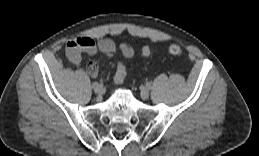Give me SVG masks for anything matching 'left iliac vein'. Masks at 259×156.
<instances>
[{"instance_id": "left-iliac-vein-1", "label": "left iliac vein", "mask_w": 259, "mask_h": 156, "mask_svg": "<svg viewBox=\"0 0 259 156\" xmlns=\"http://www.w3.org/2000/svg\"><path fill=\"white\" fill-rule=\"evenodd\" d=\"M140 96L143 100H146L149 97V90L147 88H142L140 92Z\"/></svg>"}]
</instances>
